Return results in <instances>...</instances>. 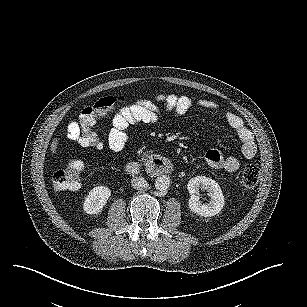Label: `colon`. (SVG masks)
<instances>
[{
    "label": "colon",
    "instance_id": "colon-1",
    "mask_svg": "<svg viewBox=\"0 0 307 307\" xmlns=\"http://www.w3.org/2000/svg\"><path fill=\"white\" fill-rule=\"evenodd\" d=\"M124 101L122 97L108 96L101 98L93 106L84 108L80 113L79 142L85 147L101 148L103 142L93 130L96 120L110 114L117 103ZM84 164L80 160L71 161L65 168L57 171L53 178V186L58 191L78 189L82 181ZM259 180V168L249 164L242 171L241 183L245 188H253Z\"/></svg>",
    "mask_w": 307,
    "mask_h": 307
}]
</instances>
